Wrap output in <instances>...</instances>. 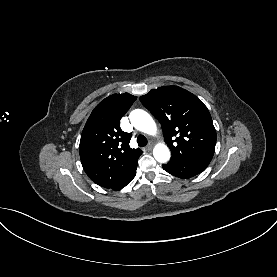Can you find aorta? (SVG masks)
I'll return each mask as SVG.
<instances>
[{"label":"aorta","mask_w":277,"mask_h":277,"mask_svg":"<svg viewBox=\"0 0 277 277\" xmlns=\"http://www.w3.org/2000/svg\"><path fill=\"white\" fill-rule=\"evenodd\" d=\"M131 124L139 131L154 135L157 127L153 118L144 110L135 109L129 115ZM154 158L160 163H166L170 159V151L163 144H157L153 149Z\"/></svg>","instance_id":"aorta-1"}]
</instances>
